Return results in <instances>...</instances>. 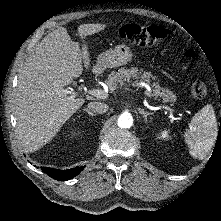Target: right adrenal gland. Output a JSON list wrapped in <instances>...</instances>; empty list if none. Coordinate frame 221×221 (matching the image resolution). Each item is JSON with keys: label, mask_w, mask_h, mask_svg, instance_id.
<instances>
[{"label": "right adrenal gland", "mask_w": 221, "mask_h": 221, "mask_svg": "<svg viewBox=\"0 0 221 221\" xmlns=\"http://www.w3.org/2000/svg\"><path fill=\"white\" fill-rule=\"evenodd\" d=\"M83 111L84 112H87L90 116H95V114L94 113H92L90 110H88V109H83Z\"/></svg>", "instance_id": "right-adrenal-gland-1"}]
</instances>
